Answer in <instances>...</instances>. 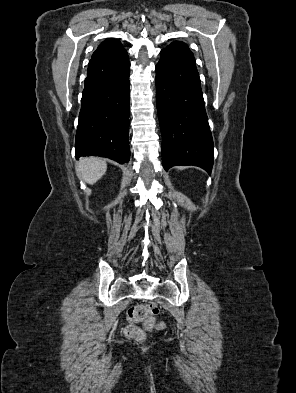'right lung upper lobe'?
Masks as SVG:
<instances>
[{"instance_id": "right-lung-upper-lobe-1", "label": "right lung upper lobe", "mask_w": 296, "mask_h": 393, "mask_svg": "<svg viewBox=\"0 0 296 393\" xmlns=\"http://www.w3.org/2000/svg\"><path fill=\"white\" fill-rule=\"evenodd\" d=\"M122 46V44L113 38H109L105 41H103L97 48V50L102 49V48H106V47H120Z\"/></svg>"}]
</instances>
